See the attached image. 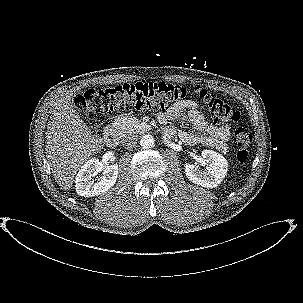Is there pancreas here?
<instances>
[{
	"instance_id": "cf45deb5",
	"label": "pancreas",
	"mask_w": 303,
	"mask_h": 303,
	"mask_svg": "<svg viewBox=\"0 0 303 303\" xmlns=\"http://www.w3.org/2000/svg\"><path fill=\"white\" fill-rule=\"evenodd\" d=\"M118 136H125L131 133H139L146 129V125L136 117H121L114 123Z\"/></svg>"
}]
</instances>
